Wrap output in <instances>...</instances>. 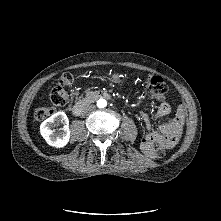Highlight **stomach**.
I'll return each mask as SVG.
<instances>
[{
    "instance_id": "obj_1",
    "label": "stomach",
    "mask_w": 221,
    "mask_h": 221,
    "mask_svg": "<svg viewBox=\"0 0 221 221\" xmlns=\"http://www.w3.org/2000/svg\"><path fill=\"white\" fill-rule=\"evenodd\" d=\"M111 78L114 82H120V75L118 73H114Z\"/></svg>"
}]
</instances>
